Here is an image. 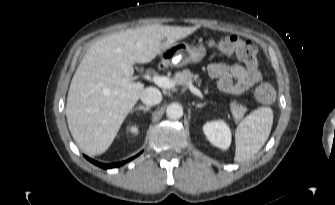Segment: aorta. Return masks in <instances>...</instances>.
<instances>
[{"label": "aorta", "instance_id": "aorta-1", "mask_svg": "<svg viewBox=\"0 0 335 205\" xmlns=\"http://www.w3.org/2000/svg\"><path fill=\"white\" fill-rule=\"evenodd\" d=\"M166 115L171 120H178L183 115V108L179 103H171L166 109Z\"/></svg>", "mask_w": 335, "mask_h": 205}]
</instances>
